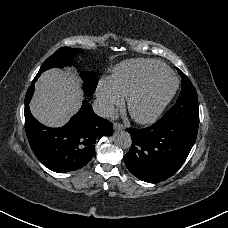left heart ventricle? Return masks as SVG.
Masks as SVG:
<instances>
[{"mask_svg": "<svg viewBox=\"0 0 228 228\" xmlns=\"http://www.w3.org/2000/svg\"><path fill=\"white\" fill-rule=\"evenodd\" d=\"M172 89V83H165L157 91L145 92L134 104V110L141 116L149 115Z\"/></svg>", "mask_w": 228, "mask_h": 228, "instance_id": "obj_1", "label": "left heart ventricle"}]
</instances>
